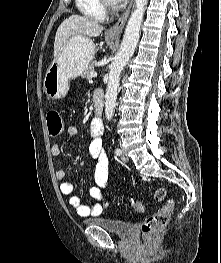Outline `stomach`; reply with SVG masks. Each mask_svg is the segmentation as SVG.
Segmentation results:
<instances>
[{"label":"stomach","mask_w":221,"mask_h":263,"mask_svg":"<svg viewBox=\"0 0 221 263\" xmlns=\"http://www.w3.org/2000/svg\"><path fill=\"white\" fill-rule=\"evenodd\" d=\"M106 40L112 41L109 38ZM95 52V44L88 37L74 36L68 39L46 71L43 89L47 97H64L69 91L70 80L89 67Z\"/></svg>","instance_id":"0dacf381"}]
</instances>
